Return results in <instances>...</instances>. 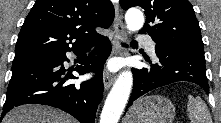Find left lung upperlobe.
<instances>
[{
	"instance_id": "left-lung-upper-lobe-1",
	"label": "left lung upper lobe",
	"mask_w": 221,
	"mask_h": 123,
	"mask_svg": "<svg viewBox=\"0 0 221 123\" xmlns=\"http://www.w3.org/2000/svg\"><path fill=\"white\" fill-rule=\"evenodd\" d=\"M124 10L139 6L146 21L141 33H147L156 45L204 53L200 27L188 0H120Z\"/></svg>"
}]
</instances>
